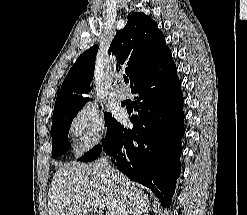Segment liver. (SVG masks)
<instances>
[{
	"instance_id": "1",
	"label": "liver",
	"mask_w": 247,
	"mask_h": 215,
	"mask_svg": "<svg viewBox=\"0 0 247 215\" xmlns=\"http://www.w3.org/2000/svg\"><path fill=\"white\" fill-rule=\"evenodd\" d=\"M117 180L98 162L70 164L55 172L49 191V215H88L102 199L106 215H141L150 201L137 184L114 169Z\"/></svg>"
}]
</instances>
